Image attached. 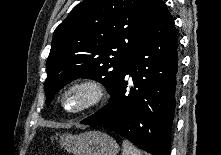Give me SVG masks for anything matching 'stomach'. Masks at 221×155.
Segmentation results:
<instances>
[{"label":"stomach","instance_id":"stomach-1","mask_svg":"<svg viewBox=\"0 0 221 155\" xmlns=\"http://www.w3.org/2000/svg\"><path fill=\"white\" fill-rule=\"evenodd\" d=\"M60 146L73 155H117V142L101 131H89L78 135L63 134Z\"/></svg>","mask_w":221,"mask_h":155}]
</instances>
